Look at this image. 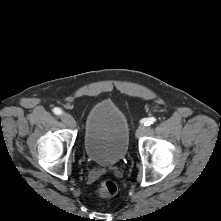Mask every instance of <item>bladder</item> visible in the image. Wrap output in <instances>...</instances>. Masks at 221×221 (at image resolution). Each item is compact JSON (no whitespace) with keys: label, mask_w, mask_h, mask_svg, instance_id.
I'll use <instances>...</instances> for the list:
<instances>
[{"label":"bladder","mask_w":221,"mask_h":221,"mask_svg":"<svg viewBox=\"0 0 221 221\" xmlns=\"http://www.w3.org/2000/svg\"><path fill=\"white\" fill-rule=\"evenodd\" d=\"M130 127L126 115L112 100L95 103L85 119L84 152L100 166H112L128 150Z\"/></svg>","instance_id":"1"}]
</instances>
